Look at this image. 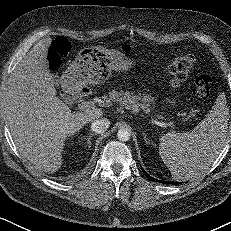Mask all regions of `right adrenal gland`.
Listing matches in <instances>:
<instances>
[{
  "label": "right adrenal gland",
  "mask_w": 231,
  "mask_h": 231,
  "mask_svg": "<svg viewBox=\"0 0 231 231\" xmlns=\"http://www.w3.org/2000/svg\"><path fill=\"white\" fill-rule=\"evenodd\" d=\"M95 134L91 133L89 136L83 137V139L87 140L88 147L90 148L91 146V137H93Z\"/></svg>",
  "instance_id": "2a0ac1e0"
}]
</instances>
